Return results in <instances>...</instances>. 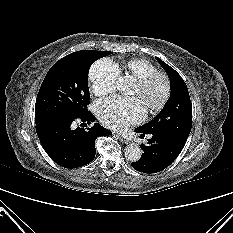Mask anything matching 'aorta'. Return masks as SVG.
<instances>
[{"label": "aorta", "instance_id": "obj_1", "mask_svg": "<svg viewBox=\"0 0 233 233\" xmlns=\"http://www.w3.org/2000/svg\"><path fill=\"white\" fill-rule=\"evenodd\" d=\"M129 86L130 80L127 77H120L117 81V89L122 93H126L129 90ZM141 154V148L134 143L129 144L124 150L125 158L131 162L138 161L141 157Z\"/></svg>", "mask_w": 233, "mask_h": 233}]
</instances>
